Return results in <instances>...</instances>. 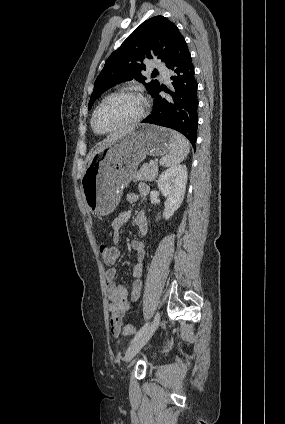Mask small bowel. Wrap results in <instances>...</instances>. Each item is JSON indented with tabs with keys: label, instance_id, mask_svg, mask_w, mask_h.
Here are the masks:
<instances>
[{
	"label": "small bowel",
	"instance_id": "small-bowel-1",
	"mask_svg": "<svg viewBox=\"0 0 285 424\" xmlns=\"http://www.w3.org/2000/svg\"><path fill=\"white\" fill-rule=\"evenodd\" d=\"M149 189L145 184L138 186L137 193L128 197V201L135 202L139 199H144L148 194ZM131 210L126 209L121 211L117 217L111 222L113 230V241L119 243L123 226L130 220ZM140 235L144 236L148 232V220L144 213H138L133 220ZM131 248L136 255V263L132 268L131 276L133 278L130 293L122 284L116 283L117 270L110 268L106 272V296L110 302L109 309L112 314L110 321L111 333L113 336L118 337L121 334L129 335L130 333L122 330L124 314L132 307V304L137 301L141 295L143 283L141 280L143 273V261L145 259V245L139 239L131 241ZM114 316L118 317V326H114L112 319Z\"/></svg>",
	"mask_w": 285,
	"mask_h": 424
}]
</instances>
